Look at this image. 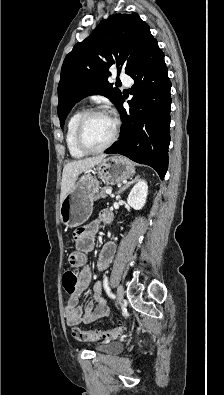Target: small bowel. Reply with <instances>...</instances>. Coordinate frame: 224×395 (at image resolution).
<instances>
[{"label":"small bowel","instance_id":"obj_1","mask_svg":"<svg viewBox=\"0 0 224 395\" xmlns=\"http://www.w3.org/2000/svg\"><path fill=\"white\" fill-rule=\"evenodd\" d=\"M102 211L99 215V221L78 229L74 234V243L76 249L71 252L70 263L82 267L79 273L77 288L68 299L65 306V320L68 326L75 327L81 323L90 324L97 318L106 317L109 314V306L102 293L100 282L92 286V300L84 308L79 305L80 295L91 285L92 273L87 264L86 254L94 246V236L101 222H105V214ZM116 252V246L113 242L106 243L101 252L97 263L99 271L105 270L112 262Z\"/></svg>","mask_w":224,"mask_h":395}]
</instances>
